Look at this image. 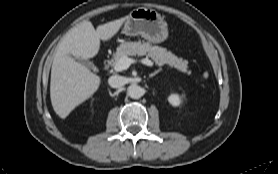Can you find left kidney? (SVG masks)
<instances>
[{
    "label": "left kidney",
    "instance_id": "1",
    "mask_svg": "<svg viewBox=\"0 0 278 174\" xmlns=\"http://www.w3.org/2000/svg\"><path fill=\"white\" fill-rule=\"evenodd\" d=\"M168 101L172 106H179L182 102L181 97L178 94H171L168 97Z\"/></svg>",
    "mask_w": 278,
    "mask_h": 174
}]
</instances>
